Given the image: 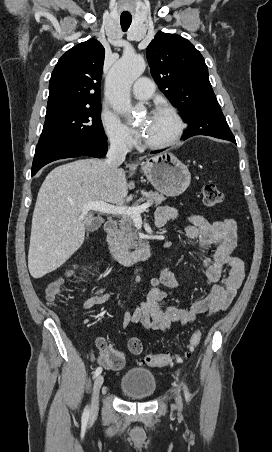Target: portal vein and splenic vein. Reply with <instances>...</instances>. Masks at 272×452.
I'll return each instance as SVG.
<instances>
[{
    "label": "portal vein and splenic vein",
    "instance_id": "portal-vein-and-splenic-vein-1",
    "mask_svg": "<svg viewBox=\"0 0 272 452\" xmlns=\"http://www.w3.org/2000/svg\"><path fill=\"white\" fill-rule=\"evenodd\" d=\"M151 206L150 203H144L140 206H125V205H112L108 204L103 201H97V202H89L83 207V211H98L105 214H113V215H128L132 217L133 219H139L141 216V213L144 212L146 209H148Z\"/></svg>",
    "mask_w": 272,
    "mask_h": 452
}]
</instances>
